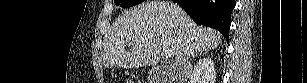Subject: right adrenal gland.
Listing matches in <instances>:
<instances>
[{"label": "right adrenal gland", "instance_id": "2a0ac1e0", "mask_svg": "<svg viewBox=\"0 0 307 83\" xmlns=\"http://www.w3.org/2000/svg\"><path fill=\"white\" fill-rule=\"evenodd\" d=\"M205 54H207V52H201V53L195 54V55L193 56V58H194V57H198V56H202V55H205Z\"/></svg>", "mask_w": 307, "mask_h": 83}]
</instances>
